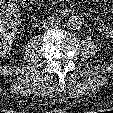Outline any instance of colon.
<instances>
[{
  "instance_id": "1",
  "label": "colon",
  "mask_w": 113,
  "mask_h": 113,
  "mask_svg": "<svg viewBox=\"0 0 113 113\" xmlns=\"http://www.w3.org/2000/svg\"><path fill=\"white\" fill-rule=\"evenodd\" d=\"M30 0H0V51L10 43L11 33L17 23L22 5Z\"/></svg>"
}]
</instances>
